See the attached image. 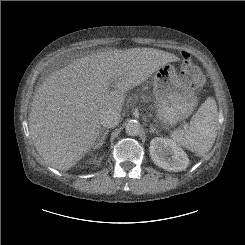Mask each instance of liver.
<instances>
[{"instance_id": "6515ba94", "label": "liver", "mask_w": 245, "mask_h": 245, "mask_svg": "<svg viewBox=\"0 0 245 245\" xmlns=\"http://www.w3.org/2000/svg\"><path fill=\"white\" fill-rule=\"evenodd\" d=\"M179 60L153 48L114 49L78 58L49 75L29 113L30 135L44 162L72 168L96 144L102 112H121L127 91Z\"/></svg>"}]
</instances>
